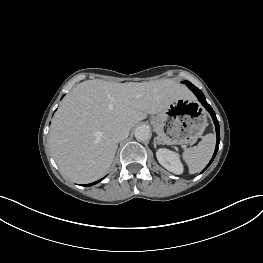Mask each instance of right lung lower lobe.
Returning a JSON list of instances; mask_svg holds the SVG:
<instances>
[{
    "label": "right lung lower lobe",
    "mask_w": 263,
    "mask_h": 263,
    "mask_svg": "<svg viewBox=\"0 0 263 263\" xmlns=\"http://www.w3.org/2000/svg\"><path fill=\"white\" fill-rule=\"evenodd\" d=\"M101 180H99V181H96V182H93V183H90V184H85V185H83V186H92V185H94V184H96V183H98V182H100Z\"/></svg>",
    "instance_id": "1"
}]
</instances>
